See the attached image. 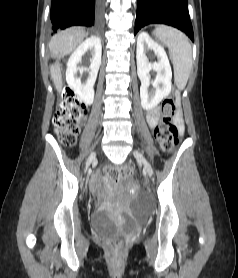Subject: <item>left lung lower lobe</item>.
<instances>
[{"instance_id": "obj_1", "label": "left lung lower lobe", "mask_w": 238, "mask_h": 278, "mask_svg": "<svg viewBox=\"0 0 238 278\" xmlns=\"http://www.w3.org/2000/svg\"><path fill=\"white\" fill-rule=\"evenodd\" d=\"M135 34L145 25L162 23L174 26L194 41L187 0H137Z\"/></svg>"}]
</instances>
